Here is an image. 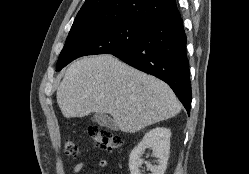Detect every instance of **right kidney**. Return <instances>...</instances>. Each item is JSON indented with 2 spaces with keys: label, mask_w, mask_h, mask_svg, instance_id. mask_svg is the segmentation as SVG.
Returning a JSON list of instances; mask_svg holds the SVG:
<instances>
[{
  "label": "right kidney",
  "mask_w": 249,
  "mask_h": 174,
  "mask_svg": "<svg viewBox=\"0 0 249 174\" xmlns=\"http://www.w3.org/2000/svg\"><path fill=\"white\" fill-rule=\"evenodd\" d=\"M171 131L168 128L157 127L145 134L142 141L132 150L129 158L131 174H141L140 167L143 164L141 155L146 148H150L158 159L157 165L147 163L148 170L152 174H164L170 152Z\"/></svg>",
  "instance_id": "right-kidney-1"
}]
</instances>
